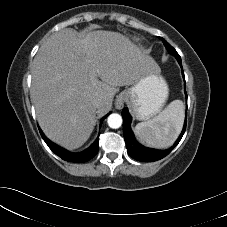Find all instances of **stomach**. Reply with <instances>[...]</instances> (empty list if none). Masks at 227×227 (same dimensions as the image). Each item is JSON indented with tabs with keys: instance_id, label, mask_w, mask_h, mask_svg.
I'll return each mask as SVG.
<instances>
[{
	"instance_id": "obj_1",
	"label": "stomach",
	"mask_w": 227,
	"mask_h": 227,
	"mask_svg": "<svg viewBox=\"0 0 227 227\" xmlns=\"http://www.w3.org/2000/svg\"><path fill=\"white\" fill-rule=\"evenodd\" d=\"M124 94L131 112L138 120H148L156 115L168 97V86L160 70L143 75Z\"/></svg>"
}]
</instances>
